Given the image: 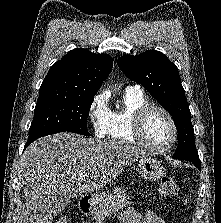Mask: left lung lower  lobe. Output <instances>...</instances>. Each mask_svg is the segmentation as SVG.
Returning <instances> with one entry per match:
<instances>
[{
  "mask_svg": "<svg viewBox=\"0 0 221 223\" xmlns=\"http://www.w3.org/2000/svg\"><path fill=\"white\" fill-rule=\"evenodd\" d=\"M190 162H192L199 170H201L200 162H196V161H190Z\"/></svg>",
  "mask_w": 221,
  "mask_h": 223,
  "instance_id": "left-lung-lower-lobe-1",
  "label": "left lung lower lobe"
}]
</instances>
